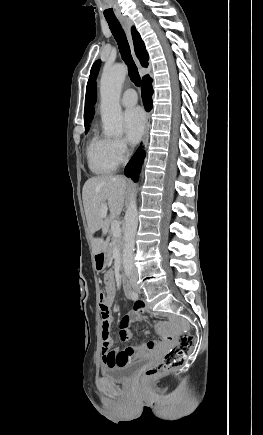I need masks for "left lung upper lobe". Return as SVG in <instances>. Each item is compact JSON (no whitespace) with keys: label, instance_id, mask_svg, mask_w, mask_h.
<instances>
[{"label":"left lung upper lobe","instance_id":"obj_1","mask_svg":"<svg viewBox=\"0 0 263 435\" xmlns=\"http://www.w3.org/2000/svg\"><path fill=\"white\" fill-rule=\"evenodd\" d=\"M100 63H101L100 60L95 61V63L93 64V66L91 68L90 77H89V80H88V83H87V87H86V97H85L86 103L90 99L91 89H92V86H93V82H94V80H95V78L97 76V73L99 71Z\"/></svg>","mask_w":263,"mask_h":435}]
</instances>
